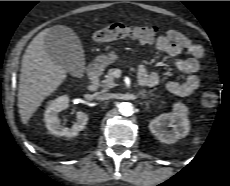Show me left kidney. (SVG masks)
<instances>
[{
  "instance_id": "left-kidney-1",
  "label": "left kidney",
  "mask_w": 230,
  "mask_h": 186,
  "mask_svg": "<svg viewBox=\"0 0 230 186\" xmlns=\"http://www.w3.org/2000/svg\"><path fill=\"white\" fill-rule=\"evenodd\" d=\"M188 108L182 103L173 106V113H163L149 123L151 133L162 143L172 144L188 135ZM171 128V129H169Z\"/></svg>"
}]
</instances>
